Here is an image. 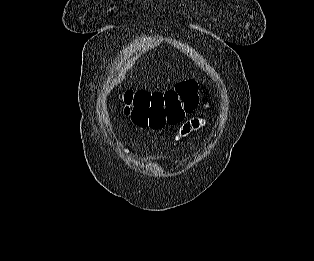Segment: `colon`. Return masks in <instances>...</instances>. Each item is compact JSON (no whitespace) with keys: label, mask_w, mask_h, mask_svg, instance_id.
<instances>
[{"label":"colon","mask_w":314,"mask_h":261,"mask_svg":"<svg viewBox=\"0 0 314 261\" xmlns=\"http://www.w3.org/2000/svg\"><path fill=\"white\" fill-rule=\"evenodd\" d=\"M198 90L195 81L186 80L176 89L166 92L126 91L122 95L124 111L139 127L162 129L177 125L187 114L198 109L200 105Z\"/></svg>","instance_id":"5ec220e1"}]
</instances>
